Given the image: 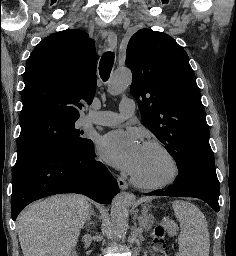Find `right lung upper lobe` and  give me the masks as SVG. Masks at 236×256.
Segmentation results:
<instances>
[{"instance_id":"cb5924a9","label":"right lung upper lobe","mask_w":236,"mask_h":256,"mask_svg":"<svg viewBox=\"0 0 236 256\" xmlns=\"http://www.w3.org/2000/svg\"><path fill=\"white\" fill-rule=\"evenodd\" d=\"M23 80L20 118L47 111L79 118L96 91L94 41L76 29L51 34L32 52Z\"/></svg>"}]
</instances>
